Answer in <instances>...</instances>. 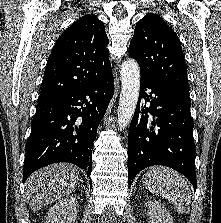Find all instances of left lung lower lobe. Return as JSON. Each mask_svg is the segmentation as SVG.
<instances>
[{"label":"left lung lower lobe","instance_id":"obj_1","mask_svg":"<svg viewBox=\"0 0 221 223\" xmlns=\"http://www.w3.org/2000/svg\"><path fill=\"white\" fill-rule=\"evenodd\" d=\"M143 98L150 107L140 103ZM190 107L189 94L141 77L139 102L128 138L129 187L144 168L163 165L179 171L196 188Z\"/></svg>","mask_w":221,"mask_h":223}]
</instances>
